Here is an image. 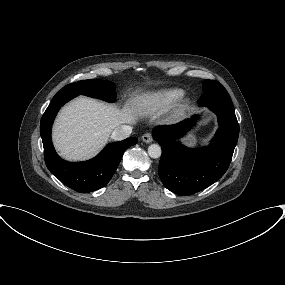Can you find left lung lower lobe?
I'll list each match as a JSON object with an SVG mask.
<instances>
[{
  "label": "left lung lower lobe",
  "instance_id": "1",
  "mask_svg": "<svg viewBox=\"0 0 285 285\" xmlns=\"http://www.w3.org/2000/svg\"><path fill=\"white\" fill-rule=\"evenodd\" d=\"M218 117L219 128L209 146L189 149L176 139L185 134L193 121L157 126L153 137L162 148L158 172L164 186L178 195H192L219 180L227 171L239 136L234 108L207 106Z\"/></svg>",
  "mask_w": 285,
  "mask_h": 285
}]
</instances>
